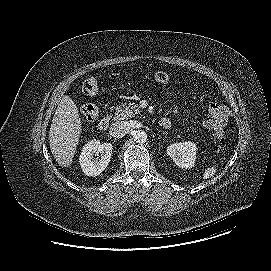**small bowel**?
<instances>
[{"label": "small bowel", "mask_w": 271, "mask_h": 271, "mask_svg": "<svg viewBox=\"0 0 271 271\" xmlns=\"http://www.w3.org/2000/svg\"><path fill=\"white\" fill-rule=\"evenodd\" d=\"M229 109L224 104L211 103L208 114L203 120V126L215 131H221L229 118Z\"/></svg>", "instance_id": "obj_1"}]
</instances>
